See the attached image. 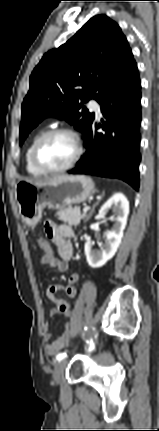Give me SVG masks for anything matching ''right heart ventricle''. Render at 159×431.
<instances>
[{
    "label": "right heart ventricle",
    "mask_w": 159,
    "mask_h": 431,
    "mask_svg": "<svg viewBox=\"0 0 159 431\" xmlns=\"http://www.w3.org/2000/svg\"><path fill=\"white\" fill-rule=\"evenodd\" d=\"M44 129H39L30 139L28 146L26 148V152H25V166H26V170L27 172L34 176V177H40L43 176L45 173L42 172L40 169H38L33 161H32V148L33 145L35 143V141L44 133Z\"/></svg>",
    "instance_id": "e07e8e85"
}]
</instances>
